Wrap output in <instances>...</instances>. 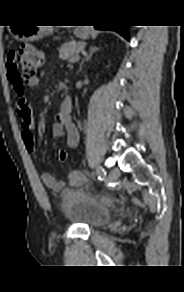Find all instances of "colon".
<instances>
[{"label": "colon", "instance_id": "1", "mask_svg": "<svg viewBox=\"0 0 184 292\" xmlns=\"http://www.w3.org/2000/svg\"><path fill=\"white\" fill-rule=\"evenodd\" d=\"M45 54L31 45H24L12 52L8 58V77L10 82L18 88L30 81L44 64ZM28 147L34 148L33 136L26 135ZM67 154L64 150H58L56 159L59 162L66 160Z\"/></svg>", "mask_w": 184, "mask_h": 292}]
</instances>
